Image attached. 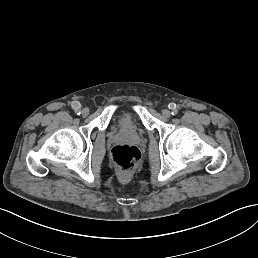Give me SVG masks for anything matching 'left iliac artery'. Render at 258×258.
Returning <instances> with one entry per match:
<instances>
[{"label": "left iliac artery", "instance_id": "1", "mask_svg": "<svg viewBox=\"0 0 258 258\" xmlns=\"http://www.w3.org/2000/svg\"><path fill=\"white\" fill-rule=\"evenodd\" d=\"M171 114L174 116V115H177L178 114V110L177 109H175V110H173L172 112H171Z\"/></svg>", "mask_w": 258, "mask_h": 258}]
</instances>
